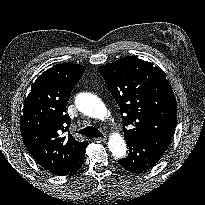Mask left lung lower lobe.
Masks as SVG:
<instances>
[{
  "instance_id": "left-lung-lower-lobe-1",
  "label": "left lung lower lobe",
  "mask_w": 205,
  "mask_h": 205,
  "mask_svg": "<svg viewBox=\"0 0 205 205\" xmlns=\"http://www.w3.org/2000/svg\"><path fill=\"white\" fill-rule=\"evenodd\" d=\"M171 138L170 136H154L126 139L129 154L125 159L118 162L129 172L144 173L156 165L166 151Z\"/></svg>"
}]
</instances>
